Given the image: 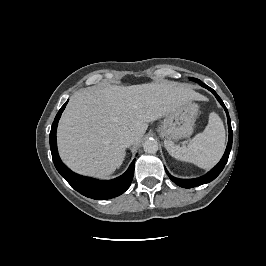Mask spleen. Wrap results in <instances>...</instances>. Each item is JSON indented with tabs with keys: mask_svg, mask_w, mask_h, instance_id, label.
I'll return each mask as SVG.
<instances>
[{
	"mask_svg": "<svg viewBox=\"0 0 266 266\" xmlns=\"http://www.w3.org/2000/svg\"><path fill=\"white\" fill-rule=\"evenodd\" d=\"M165 146L175 159L209 169L219 161L225 148L223 122L213 112L209 115V121L204 131L195 135L188 145L180 147L168 142Z\"/></svg>",
	"mask_w": 266,
	"mask_h": 266,
	"instance_id": "3e777b00",
	"label": "spleen"
}]
</instances>
